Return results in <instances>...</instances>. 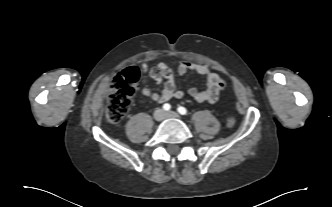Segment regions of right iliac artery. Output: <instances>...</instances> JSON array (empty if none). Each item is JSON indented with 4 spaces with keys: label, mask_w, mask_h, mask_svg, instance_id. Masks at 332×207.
Masks as SVG:
<instances>
[{
    "label": "right iliac artery",
    "mask_w": 332,
    "mask_h": 207,
    "mask_svg": "<svg viewBox=\"0 0 332 207\" xmlns=\"http://www.w3.org/2000/svg\"><path fill=\"white\" fill-rule=\"evenodd\" d=\"M170 108H171V106H170V104H168V103H165V104L163 105V109H164L165 111H169Z\"/></svg>",
    "instance_id": "1"
}]
</instances>
